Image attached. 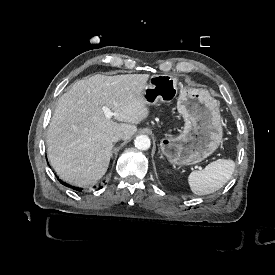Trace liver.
Returning <instances> with one entry per match:
<instances>
[{
    "label": "liver",
    "instance_id": "obj_1",
    "mask_svg": "<svg viewBox=\"0 0 275 275\" xmlns=\"http://www.w3.org/2000/svg\"><path fill=\"white\" fill-rule=\"evenodd\" d=\"M148 74L105 76L76 81L57 101L46 144L51 166L59 177L78 187L95 185L106 173L112 134L130 139L148 114L142 95ZM107 106L117 123L105 117Z\"/></svg>",
    "mask_w": 275,
    "mask_h": 275
}]
</instances>
